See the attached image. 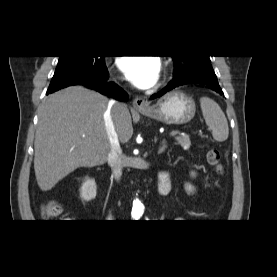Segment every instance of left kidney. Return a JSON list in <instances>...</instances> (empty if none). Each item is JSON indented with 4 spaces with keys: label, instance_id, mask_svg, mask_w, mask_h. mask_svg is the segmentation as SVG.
<instances>
[{
    "label": "left kidney",
    "instance_id": "obj_1",
    "mask_svg": "<svg viewBox=\"0 0 277 277\" xmlns=\"http://www.w3.org/2000/svg\"><path fill=\"white\" fill-rule=\"evenodd\" d=\"M191 176H192V177H195V176H196V173L192 171V172H191ZM184 188H185V190H186V192H187L188 194L194 193V191H195L194 186L191 185L190 183H186L185 186H184Z\"/></svg>",
    "mask_w": 277,
    "mask_h": 277
}]
</instances>
